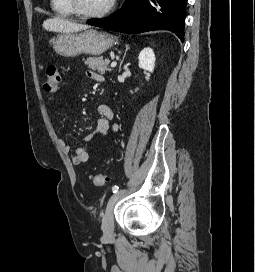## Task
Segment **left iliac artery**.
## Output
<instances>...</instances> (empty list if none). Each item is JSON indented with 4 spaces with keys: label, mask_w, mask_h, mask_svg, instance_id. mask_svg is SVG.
I'll return each mask as SVG.
<instances>
[{
    "label": "left iliac artery",
    "mask_w": 255,
    "mask_h": 272,
    "mask_svg": "<svg viewBox=\"0 0 255 272\" xmlns=\"http://www.w3.org/2000/svg\"><path fill=\"white\" fill-rule=\"evenodd\" d=\"M118 190H119V187H118V186L115 185V186L112 187L113 193L118 192Z\"/></svg>",
    "instance_id": "1"
}]
</instances>
